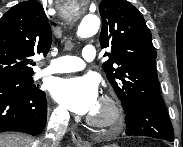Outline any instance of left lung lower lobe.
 Masks as SVG:
<instances>
[{
	"instance_id": "obj_1",
	"label": "left lung lower lobe",
	"mask_w": 183,
	"mask_h": 147,
	"mask_svg": "<svg viewBox=\"0 0 183 147\" xmlns=\"http://www.w3.org/2000/svg\"><path fill=\"white\" fill-rule=\"evenodd\" d=\"M125 114L127 135L174 140L173 127L163 102H137L125 110Z\"/></svg>"
}]
</instances>
